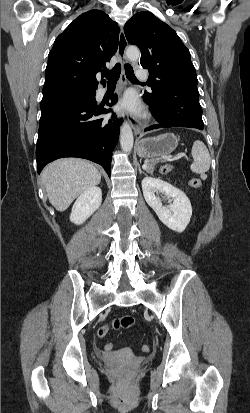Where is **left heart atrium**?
Segmentation results:
<instances>
[{"mask_svg": "<svg viewBox=\"0 0 250 413\" xmlns=\"http://www.w3.org/2000/svg\"><path fill=\"white\" fill-rule=\"evenodd\" d=\"M121 107L132 112H138L140 110L139 101L135 94L132 92H129L125 95L121 102Z\"/></svg>", "mask_w": 250, "mask_h": 413, "instance_id": "left-heart-atrium-1", "label": "left heart atrium"}]
</instances>
